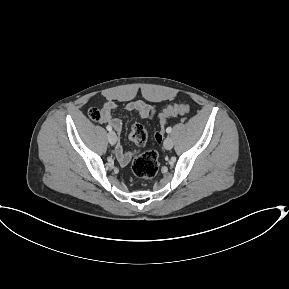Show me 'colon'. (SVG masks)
Returning <instances> with one entry per match:
<instances>
[{"instance_id":"colon-1","label":"colon","mask_w":289,"mask_h":289,"mask_svg":"<svg viewBox=\"0 0 289 289\" xmlns=\"http://www.w3.org/2000/svg\"><path fill=\"white\" fill-rule=\"evenodd\" d=\"M190 109L187 103L170 105L163 109L159 115L160 124L163 126L167 119L177 115L186 114ZM89 117L94 121H100L102 117L101 110L93 108L89 110ZM131 140L138 146L144 145L150 138L148 129L142 124L136 123L131 128L130 133ZM154 139L160 142L162 139L161 132L154 134ZM159 169V158L158 154L154 150H147L138 155L132 163V171L135 176L148 180L153 178Z\"/></svg>"}]
</instances>
